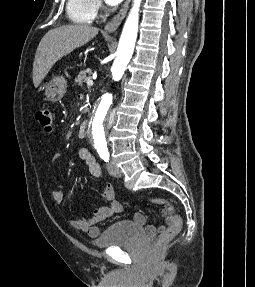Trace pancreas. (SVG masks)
Segmentation results:
<instances>
[{
    "label": "pancreas",
    "instance_id": "obj_1",
    "mask_svg": "<svg viewBox=\"0 0 255 287\" xmlns=\"http://www.w3.org/2000/svg\"><path fill=\"white\" fill-rule=\"evenodd\" d=\"M90 78H92V70H90V68H87V70H82V72L78 74L74 82L75 84H77V86H83L84 82H87V80H90Z\"/></svg>",
    "mask_w": 255,
    "mask_h": 287
}]
</instances>
